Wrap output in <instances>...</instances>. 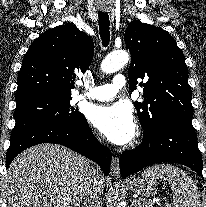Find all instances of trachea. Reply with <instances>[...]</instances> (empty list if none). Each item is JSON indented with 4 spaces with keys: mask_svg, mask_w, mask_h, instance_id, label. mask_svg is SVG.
<instances>
[{
    "mask_svg": "<svg viewBox=\"0 0 206 207\" xmlns=\"http://www.w3.org/2000/svg\"><path fill=\"white\" fill-rule=\"evenodd\" d=\"M98 17H99L98 23H99V30H100V36L102 39V44L104 47H106L108 46L110 42L109 15L108 13L99 12Z\"/></svg>",
    "mask_w": 206,
    "mask_h": 207,
    "instance_id": "obj_1",
    "label": "trachea"
}]
</instances>
